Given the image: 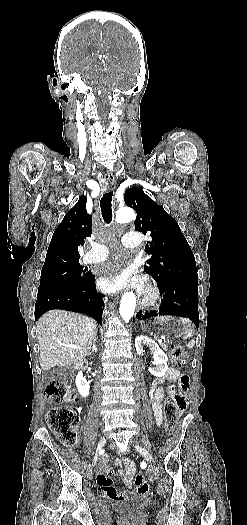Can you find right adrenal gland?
Here are the masks:
<instances>
[{"instance_id":"obj_1","label":"right adrenal gland","mask_w":247,"mask_h":525,"mask_svg":"<svg viewBox=\"0 0 247 525\" xmlns=\"http://www.w3.org/2000/svg\"><path fill=\"white\" fill-rule=\"evenodd\" d=\"M96 343H98L96 337L95 339H93V347H92V351L91 353H88V355H92V353H97V347H96Z\"/></svg>"}]
</instances>
